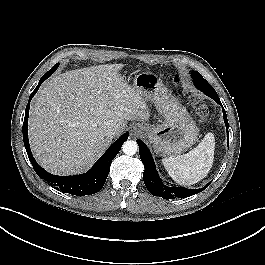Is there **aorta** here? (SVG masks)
<instances>
[{
    "label": "aorta",
    "instance_id": "762f6f07",
    "mask_svg": "<svg viewBox=\"0 0 265 265\" xmlns=\"http://www.w3.org/2000/svg\"><path fill=\"white\" fill-rule=\"evenodd\" d=\"M138 145L134 140H127L122 146V150L126 155H134L137 152Z\"/></svg>",
    "mask_w": 265,
    "mask_h": 265
}]
</instances>
